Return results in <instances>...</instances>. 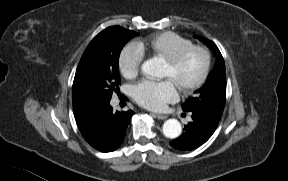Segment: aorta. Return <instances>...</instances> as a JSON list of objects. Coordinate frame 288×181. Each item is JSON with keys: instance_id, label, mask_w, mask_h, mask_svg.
<instances>
[{"instance_id": "762f6f07", "label": "aorta", "mask_w": 288, "mask_h": 181, "mask_svg": "<svg viewBox=\"0 0 288 181\" xmlns=\"http://www.w3.org/2000/svg\"><path fill=\"white\" fill-rule=\"evenodd\" d=\"M142 73L149 77H156L160 75V68L158 63L153 60H147L142 64ZM182 131L181 123L177 119H168L163 124V133L167 138L175 139L180 136Z\"/></svg>"}]
</instances>
